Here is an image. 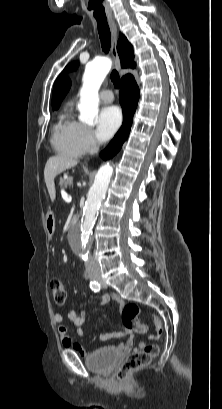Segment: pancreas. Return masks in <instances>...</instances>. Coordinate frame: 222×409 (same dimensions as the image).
Returning a JSON list of instances; mask_svg holds the SVG:
<instances>
[{
  "label": "pancreas",
  "mask_w": 222,
  "mask_h": 409,
  "mask_svg": "<svg viewBox=\"0 0 222 409\" xmlns=\"http://www.w3.org/2000/svg\"><path fill=\"white\" fill-rule=\"evenodd\" d=\"M73 178L69 177V178H61L60 179V187H67L69 185L72 184Z\"/></svg>",
  "instance_id": "pancreas-1"
}]
</instances>
